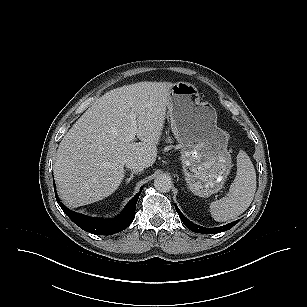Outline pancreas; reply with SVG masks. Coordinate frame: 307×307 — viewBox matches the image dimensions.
Returning a JSON list of instances; mask_svg holds the SVG:
<instances>
[{
    "label": "pancreas",
    "mask_w": 307,
    "mask_h": 307,
    "mask_svg": "<svg viewBox=\"0 0 307 307\" xmlns=\"http://www.w3.org/2000/svg\"><path fill=\"white\" fill-rule=\"evenodd\" d=\"M167 143H171L172 142V139L170 137H167L166 140H165Z\"/></svg>",
    "instance_id": "obj_1"
}]
</instances>
